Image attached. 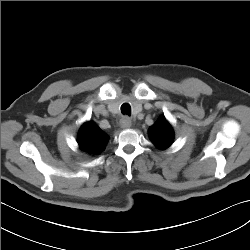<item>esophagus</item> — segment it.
<instances>
[{
  "label": "esophagus",
  "mask_w": 250,
  "mask_h": 250,
  "mask_svg": "<svg viewBox=\"0 0 250 250\" xmlns=\"http://www.w3.org/2000/svg\"><path fill=\"white\" fill-rule=\"evenodd\" d=\"M132 124L131 119L128 116H124L121 120H120V126L123 129H127L130 128Z\"/></svg>",
  "instance_id": "34e87169"
}]
</instances>
